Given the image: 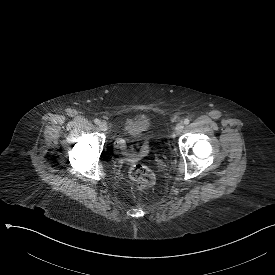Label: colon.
Listing matches in <instances>:
<instances>
[{
	"label": "colon",
	"instance_id": "5ec220e1",
	"mask_svg": "<svg viewBox=\"0 0 275 275\" xmlns=\"http://www.w3.org/2000/svg\"><path fill=\"white\" fill-rule=\"evenodd\" d=\"M129 178L137 184L138 190H145L154 185L155 176L151 170L142 165H133L129 169Z\"/></svg>",
	"mask_w": 275,
	"mask_h": 275
}]
</instances>
